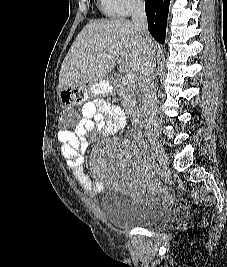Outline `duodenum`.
Returning <instances> with one entry per match:
<instances>
[{"label": "duodenum", "mask_w": 227, "mask_h": 267, "mask_svg": "<svg viewBox=\"0 0 227 267\" xmlns=\"http://www.w3.org/2000/svg\"><path fill=\"white\" fill-rule=\"evenodd\" d=\"M113 81H116L117 80V76L113 77L112 79ZM130 113L132 115V118L135 122H139L142 118V112L138 109H135V108H131L130 109Z\"/></svg>", "instance_id": "duodenum-1"}]
</instances>
